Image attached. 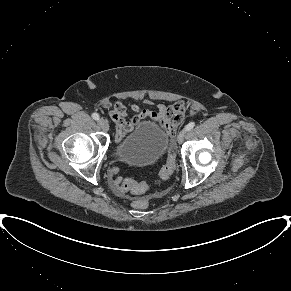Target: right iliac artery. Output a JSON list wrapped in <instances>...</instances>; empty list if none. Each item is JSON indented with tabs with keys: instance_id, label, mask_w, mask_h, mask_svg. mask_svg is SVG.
I'll return each instance as SVG.
<instances>
[{
	"instance_id": "obj_1",
	"label": "right iliac artery",
	"mask_w": 291,
	"mask_h": 291,
	"mask_svg": "<svg viewBox=\"0 0 291 291\" xmlns=\"http://www.w3.org/2000/svg\"><path fill=\"white\" fill-rule=\"evenodd\" d=\"M92 118L95 119V120H98L99 119V114L93 113L92 114Z\"/></svg>"
}]
</instances>
